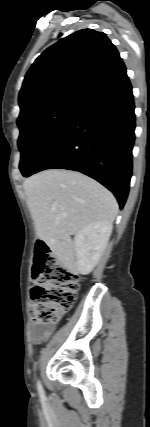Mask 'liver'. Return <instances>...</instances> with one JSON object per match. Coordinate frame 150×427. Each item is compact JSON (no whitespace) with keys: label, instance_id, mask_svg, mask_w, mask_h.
Returning a JSON list of instances; mask_svg holds the SVG:
<instances>
[{"label":"liver","instance_id":"6515ba94","mask_svg":"<svg viewBox=\"0 0 150 427\" xmlns=\"http://www.w3.org/2000/svg\"><path fill=\"white\" fill-rule=\"evenodd\" d=\"M23 186L37 237L67 266L73 265L71 235L91 223H112L118 213L113 194L79 172L45 170Z\"/></svg>","mask_w":150,"mask_h":427}]
</instances>
